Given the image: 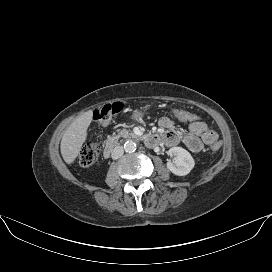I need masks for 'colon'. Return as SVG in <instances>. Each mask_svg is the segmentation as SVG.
<instances>
[{
	"label": "colon",
	"mask_w": 272,
	"mask_h": 272,
	"mask_svg": "<svg viewBox=\"0 0 272 272\" xmlns=\"http://www.w3.org/2000/svg\"><path fill=\"white\" fill-rule=\"evenodd\" d=\"M122 110L120 103L106 104L102 108L96 110L93 114V119L98 124H107L116 114ZM170 116L181 122L197 121L200 117L191 111L185 109H172L169 112ZM221 143L216 141L211 145V150L216 152L220 149ZM100 152L99 145L93 141L87 142L81 149L79 155V163L83 167L92 165L98 158Z\"/></svg>",
	"instance_id": "1"
}]
</instances>
